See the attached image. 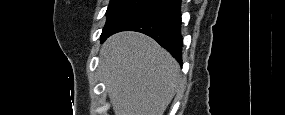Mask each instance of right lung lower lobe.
Listing matches in <instances>:
<instances>
[{
    "label": "right lung lower lobe",
    "mask_w": 285,
    "mask_h": 115,
    "mask_svg": "<svg viewBox=\"0 0 285 115\" xmlns=\"http://www.w3.org/2000/svg\"><path fill=\"white\" fill-rule=\"evenodd\" d=\"M181 0H155L123 20L110 35L120 31H137L155 39L182 65Z\"/></svg>",
    "instance_id": "obj_1"
}]
</instances>
